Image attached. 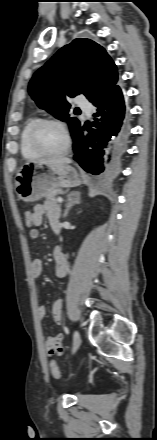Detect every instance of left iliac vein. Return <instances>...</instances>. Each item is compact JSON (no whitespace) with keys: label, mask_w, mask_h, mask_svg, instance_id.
Listing matches in <instances>:
<instances>
[{"label":"left iliac vein","mask_w":157,"mask_h":440,"mask_svg":"<svg viewBox=\"0 0 157 440\" xmlns=\"http://www.w3.org/2000/svg\"><path fill=\"white\" fill-rule=\"evenodd\" d=\"M80 345H81L80 334L78 333V331H74V335H73V352L77 351V349L80 347Z\"/></svg>","instance_id":"1"}]
</instances>
